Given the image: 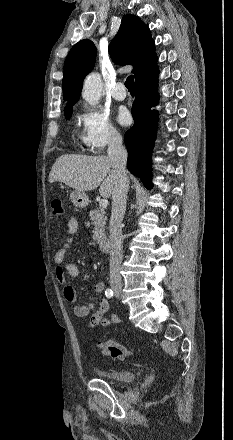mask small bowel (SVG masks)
<instances>
[{
	"label": "small bowel",
	"mask_w": 233,
	"mask_h": 440,
	"mask_svg": "<svg viewBox=\"0 0 233 440\" xmlns=\"http://www.w3.org/2000/svg\"><path fill=\"white\" fill-rule=\"evenodd\" d=\"M77 229L78 221L74 216H72L69 218L67 224L68 237L62 247L54 254V262L56 264V279L58 283L62 286L64 298L69 304L72 305L74 315L76 317L82 318L86 317L90 313L91 309L93 308V304L82 305L79 303L77 293L75 292L74 288L68 283L65 275L67 273L73 278H78L80 276V271L78 267L74 263L65 260L66 253L75 240ZM94 290L97 293L102 294L105 290L104 283L102 281H96L94 283ZM108 310L109 302L105 298H101L98 303L97 311L91 315L88 321V327H108L110 325L118 324L120 322V319L117 315L111 314L109 316H106Z\"/></svg>",
	"instance_id": "obj_1"
}]
</instances>
